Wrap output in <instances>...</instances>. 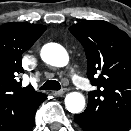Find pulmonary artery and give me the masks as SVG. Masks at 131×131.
I'll return each instance as SVG.
<instances>
[{
    "instance_id": "1",
    "label": "pulmonary artery",
    "mask_w": 131,
    "mask_h": 131,
    "mask_svg": "<svg viewBox=\"0 0 131 131\" xmlns=\"http://www.w3.org/2000/svg\"><path fill=\"white\" fill-rule=\"evenodd\" d=\"M73 82L79 86L81 89L83 90H88L90 88V85L88 84V82L81 77L80 75H78L77 73H72L71 75Z\"/></svg>"
}]
</instances>
